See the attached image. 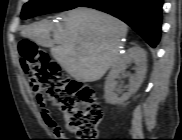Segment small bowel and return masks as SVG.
Segmentation results:
<instances>
[{
    "instance_id": "1",
    "label": "small bowel",
    "mask_w": 182,
    "mask_h": 140,
    "mask_svg": "<svg viewBox=\"0 0 182 140\" xmlns=\"http://www.w3.org/2000/svg\"><path fill=\"white\" fill-rule=\"evenodd\" d=\"M37 102H38L39 106L42 108L41 116H42V119L44 120L45 124L47 126L53 128L54 133L56 135H58L59 137H61L62 133H61L59 127L57 126V123L55 122V120H54V118L52 116V113L50 112L49 109L46 108L45 101L37 99Z\"/></svg>"
}]
</instances>
